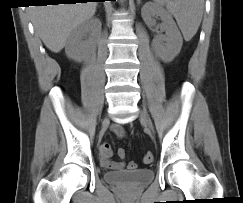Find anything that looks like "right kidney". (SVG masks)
<instances>
[{"label": "right kidney", "instance_id": "ca27d5eb", "mask_svg": "<svg viewBox=\"0 0 243 203\" xmlns=\"http://www.w3.org/2000/svg\"><path fill=\"white\" fill-rule=\"evenodd\" d=\"M101 30L99 19H90L78 25L68 37L65 52L68 58L77 62L85 60L91 50V44L85 39L87 33L96 35Z\"/></svg>", "mask_w": 243, "mask_h": 203}]
</instances>
